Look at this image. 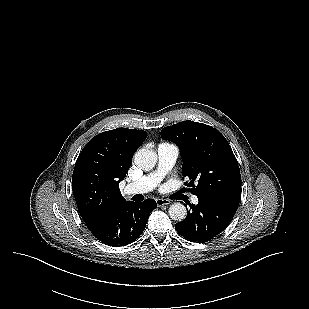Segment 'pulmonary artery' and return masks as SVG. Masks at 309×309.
<instances>
[{
  "mask_svg": "<svg viewBox=\"0 0 309 309\" xmlns=\"http://www.w3.org/2000/svg\"><path fill=\"white\" fill-rule=\"evenodd\" d=\"M179 151L178 148L169 143H162L157 148L158 164L157 169L142 178L127 184L124 188L126 195L144 194L152 191L173 167ZM194 204L198 203L196 196L192 197Z\"/></svg>",
  "mask_w": 309,
  "mask_h": 309,
  "instance_id": "e3ab8cb5",
  "label": "pulmonary artery"
}]
</instances>
